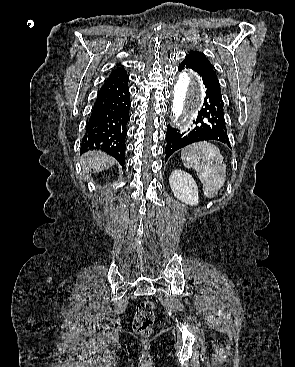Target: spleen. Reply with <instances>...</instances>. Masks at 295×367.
<instances>
[{
    "label": "spleen",
    "instance_id": "3e777b00",
    "mask_svg": "<svg viewBox=\"0 0 295 367\" xmlns=\"http://www.w3.org/2000/svg\"><path fill=\"white\" fill-rule=\"evenodd\" d=\"M181 159L186 168L196 170L204 195L216 197L226 179V165L219 148L209 142H197L181 150Z\"/></svg>",
    "mask_w": 295,
    "mask_h": 367
}]
</instances>
